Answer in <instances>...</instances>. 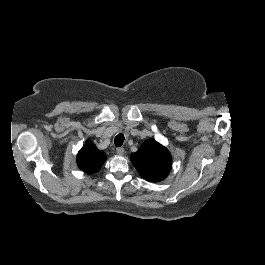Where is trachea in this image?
Listing matches in <instances>:
<instances>
[{
	"label": "trachea",
	"instance_id": "trachea-1",
	"mask_svg": "<svg viewBox=\"0 0 265 265\" xmlns=\"http://www.w3.org/2000/svg\"><path fill=\"white\" fill-rule=\"evenodd\" d=\"M124 142V134L120 133L118 134L115 139H114V144L117 146V147H120L122 146Z\"/></svg>",
	"mask_w": 265,
	"mask_h": 265
}]
</instances>
